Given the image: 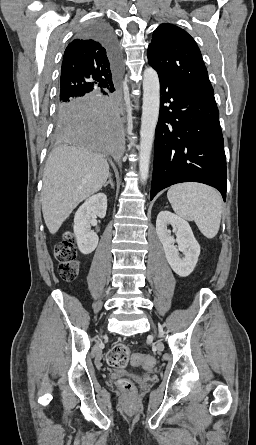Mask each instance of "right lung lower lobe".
I'll list each match as a JSON object with an SVG mask.
<instances>
[{
    "label": "right lung lower lobe",
    "instance_id": "obj_1",
    "mask_svg": "<svg viewBox=\"0 0 256 445\" xmlns=\"http://www.w3.org/2000/svg\"><path fill=\"white\" fill-rule=\"evenodd\" d=\"M83 32L98 40L115 67L120 63L116 38L104 23H92ZM115 87L58 101L56 137L60 141L118 160L123 152L119 97Z\"/></svg>",
    "mask_w": 256,
    "mask_h": 445
}]
</instances>
